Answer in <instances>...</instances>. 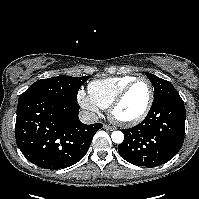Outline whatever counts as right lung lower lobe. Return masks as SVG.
<instances>
[{
    "instance_id": "obj_1",
    "label": "right lung lower lobe",
    "mask_w": 199,
    "mask_h": 199,
    "mask_svg": "<svg viewBox=\"0 0 199 199\" xmlns=\"http://www.w3.org/2000/svg\"><path fill=\"white\" fill-rule=\"evenodd\" d=\"M79 105L46 95L18 100L15 136L23 155L35 165L59 169L80 161L102 127L78 118Z\"/></svg>"
}]
</instances>
